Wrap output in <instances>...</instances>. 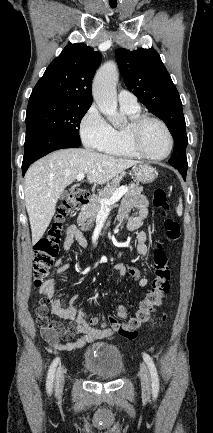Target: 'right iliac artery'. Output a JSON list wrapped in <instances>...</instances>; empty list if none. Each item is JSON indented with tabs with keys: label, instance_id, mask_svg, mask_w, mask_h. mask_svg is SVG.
Here are the masks:
<instances>
[{
	"label": "right iliac artery",
	"instance_id": "1",
	"mask_svg": "<svg viewBox=\"0 0 213 433\" xmlns=\"http://www.w3.org/2000/svg\"><path fill=\"white\" fill-rule=\"evenodd\" d=\"M59 361H60L59 357L55 358L53 360L52 364L50 365L49 370H48L47 381H46V389H47V392L49 394L52 393L55 371H56V367H57Z\"/></svg>",
	"mask_w": 213,
	"mask_h": 433
}]
</instances>
